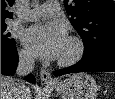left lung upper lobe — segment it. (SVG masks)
<instances>
[{
	"mask_svg": "<svg viewBox=\"0 0 115 99\" xmlns=\"http://www.w3.org/2000/svg\"><path fill=\"white\" fill-rule=\"evenodd\" d=\"M70 22L84 44L83 57L115 50L113 0H64Z\"/></svg>",
	"mask_w": 115,
	"mask_h": 99,
	"instance_id": "left-lung-upper-lobe-1",
	"label": "left lung upper lobe"
}]
</instances>
